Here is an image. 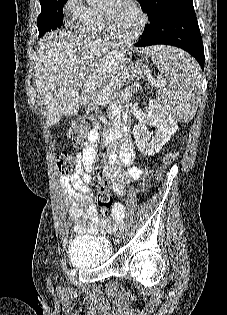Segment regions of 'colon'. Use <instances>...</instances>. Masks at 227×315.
Returning a JSON list of instances; mask_svg holds the SVG:
<instances>
[{
	"instance_id": "obj_1",
	"label": "colon",
	"mask_w": 227,
	"mask_h": 315,
	"mask_svg": "<svg viewBox=\"0 0 227 315\" xmlns=\"http://www.w3.org/2000/svg\"><path fill=\"white\" fill-rule=\"evenodd\" d=\"M88 128L83 122H74L68 131V139L74 148H80L86 144ZM178 156L177 149L167 152L163 158V167L172 164ZM72 164V158L68 154H61L56 157V167L60 172H67ZM97 202L102 210H107L113 205V198L109 191L102 187L97 194Z\"/></svg>"
}]
</instances>
